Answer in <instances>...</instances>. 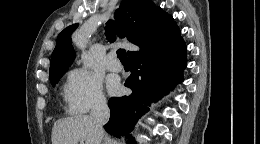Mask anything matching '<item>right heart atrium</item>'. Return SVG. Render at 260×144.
<instances>
[{"label":"right heart atrium","instance_id":"right-heart-atrium-1","mask_svg":"<svg viewBox=\"0 0 260 144\" xmlns=\"http://www.w3.org/2000/svg\"><path fill=\"white\" fill-rule=\"evenodd\" d=\"M64 98L74 113H86L106 105L101 79L83 68L68 73Z\"/></svg>","mask_w":260,"mask_h":144}]
</instances>
